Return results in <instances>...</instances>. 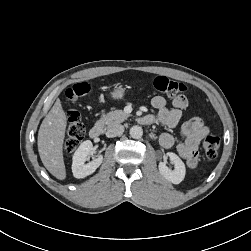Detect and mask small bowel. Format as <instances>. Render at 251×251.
<instances>
[{
    "label": "small bowel",
    "instance_id": "c3829d8e",
    "mask_svg": "<svg viewBox=\"0 0 251 251\" xmlns=\"http://www.w3.org/2000/svg\"><path fill=\"white\" fill-rule=\"evenodd\" d=\"M151 104L157 113L149 115L153 122L174 128L182 118V112L188 106V99L184 95L176 96L172 100V108H167V102L162 96L153 97ZM210 129L199 117H193L181 126V138H176L170 133H163L160 143L165 148L176 145L179 156L185 160L190 168H195L198 163V145L209 133Z\"/></svg>",
    "mask_w": 251,
    "mask_h": 251
}]
</instances>
